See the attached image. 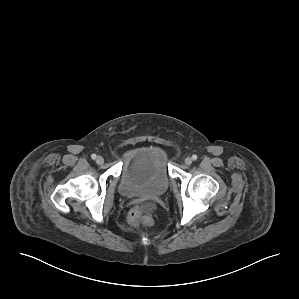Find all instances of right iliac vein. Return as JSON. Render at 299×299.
I'll list each match as a JSON object with an SVG mask.
<instances>
[{
	"instance_id": "obj_1",
	"label": "right iliac vein",
	"mask_w": 299,
	"mask_h": 299,
	"mask_svg": "<svg viewBox=\"0 0 299 299\" xmlns=\"http://www.w3.org/2000/svg\"><path fill=\"white\" fill-rule=\"evenodd\" d=\"M96 163L102 165L104 163V158L102 156H98L96 158Z\"/></svg>"
}]
</instances>
